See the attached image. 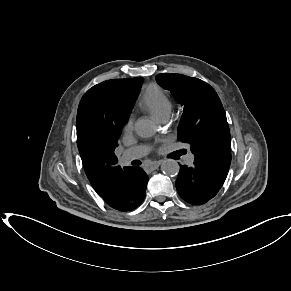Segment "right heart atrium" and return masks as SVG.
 <instances>
[{
    "instance_id": "right-heart-atrium-1",
    "label": "right heart atrium",
    "mask_w": 291,
    "mask_h": 291,
    "mask_svg": "<svg viewBox=\"0 0 291 291\" xmlns=\"http://www.w3.org/2000/svg\"><path fill=\"white\" fill-rule=\"evenodd\" d=\"M132 129H133V119L132 117H129L123 125V132L127 134L130 133Z\"/></svg>"
}]
</instances>
